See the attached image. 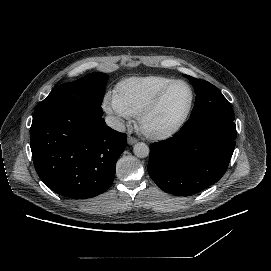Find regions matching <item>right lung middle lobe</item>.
I'll use <instances>...</instances> for the list:
<instances>
[{
	"mask_svg": "<svg viewBox=\"0 0 271 271\" xmlns=\"http://www.w3.org/2000/svg\"><path fill=\"white\" fill-rule=\"evenodd\" d=\"M107 76L101 72L90 73L75 82L57 86L35 109L34 117L61 109H94L102 114L101 103Z\"/></svg>",
	"mask_w": 271,
	"mask_h": 271,
	"instance_id": "1",
	"label": "right lung middle lobe"
}]
</instances>
